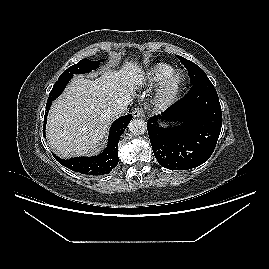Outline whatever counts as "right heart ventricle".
<instances>
[{"label": "right heart ventricle", "mask_w": 269, "mask_h": 269, "mask_svg": "<svg viewBox=\"0 0 269 269\" xmlns=\"http://www.w3.org/2000/svg\"><path fill=\"white\" fill-rule=\"evenodd\" d=\"M174 72V68L167 63H155L141 73L138 85L141 87H156L161 85Z\"/></svg>", "instance_id": "e07e8e85"}]
</instances>
